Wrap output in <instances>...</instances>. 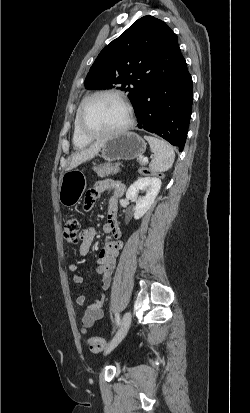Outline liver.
Listing matches in <instances>:
<instances>
[{
    "label": "liver",
    "mask_w": 250,
    "mask_h": 413,
    "mask_svg": "<svg viewBox=\"0 0 250 413\" xmlns=\"http://www.w3.org/2000/svg\"><path fill=\"white\" fill-rule=\"evenodd\" d=\"M103 144H104V140L96 141L89 148L82 149L78 152H75L71 157V162L67 168V171H70L76 168L77 166H79L80 164H82L83 162H86L94 158V156L100 152Z\"/></svg>",
    "instance_id": "6515ba94"
}]
</instances>
